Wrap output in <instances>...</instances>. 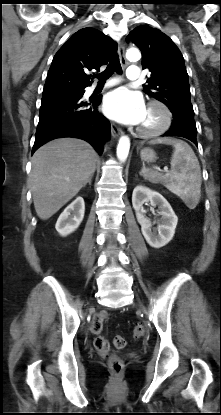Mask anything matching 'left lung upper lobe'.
Segmentation results:
<instances>
[{
	"mask_svg": "<svg viewBox=\"0 0 221 415\" xmlns=\"http://www.w3.org/2000/svg\"><path fill=\"white\" fill-rule=\"evenodd\" d=\"M127 40L139 47L142 67L151 72L144 92L164 103L172 113L193 111L184 58L174 42L150 26L136 27Z\"/></svg>",
	"mask_w": 221,
	"mask_h": 415,
	"instance_id": "5c2ea615",
	"label": "left lung upper lobe"
}]
</instances>
